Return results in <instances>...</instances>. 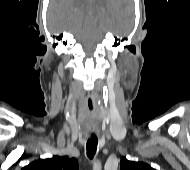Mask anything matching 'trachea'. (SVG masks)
Returning a JSON list of instances; mask_svg holds the SVG:
<instances>
[{
	"instance_id": "1",
	"label": "trachea",
	"mask_w": 190,
	"mask_h": 170,
	"mask_svg": "<svg viewBox=\"0 0 190 170\" xmlns=\"http://www.w3.org/2000/svg\"><path fill=\"white\" fill-rule=\"evenodd\" d=\"M98 145V139L96 136H93L91 139H88L86 143L87 156L92 159L96 153Z\"/></svg>"
}]
</instances>
